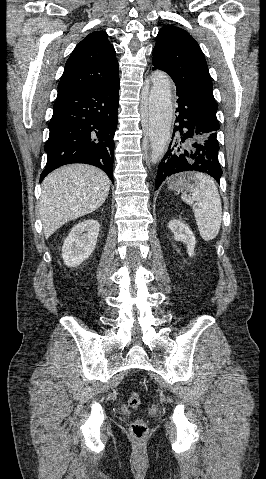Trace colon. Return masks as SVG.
<instances>
[{"label":"colon","mask_w":266,"mask_h":479,"mask_svg":"<svg viewBox=\"0 0 266 479\" xmlns=\"http://www.w3.org/2000/svg\"><path fill=\"white\" fill-rule=\"evenodd\" d=\"M128 404L131 408H138L141 405V398L136 392L130 393L128 396ZM130 433L136 442H142L148 434V426L141 418L134 420L130 426Z\"/></svg>","instance_id":"1"}]
</instances>
